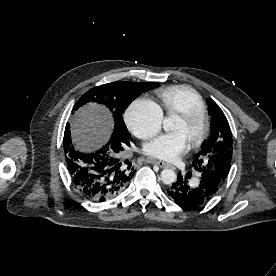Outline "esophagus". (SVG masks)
Wrapping results in <instances>:
<instances>
[{"mask_svg":"<svg viewBox=\"0 0 276 276\" xmlns=\"http://www.w3.org/2000/svg\"><path fill=\"white\" fill-rule=\"evenodd\" d=\"M146 162L147 163L157 164L161 168H167V167H169L168 163H165L163 161H158V160L150 159V158L146 159Z\"/></svg>","mask_w":276,"mask_h":276,"instance_id":"esophagus-1","label":"esophagus"}]
</instances>
